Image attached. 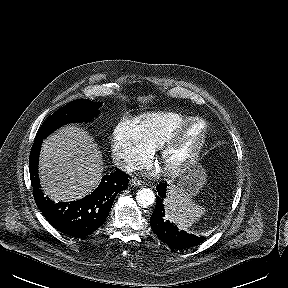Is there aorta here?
Masks as SVG:
<instances>
[{
  "mask_svg": "<svg viewBox=\"0 0 288 288\" xmlns=\"http://www.w3.org/2000/svg\"><path fill=\"white\" fill-rule=\"evenodd\" d=\"M155 194L150 188H142L136 194V201L139 206L147 208L155 202Z\"/></svg>",
  "mask_w": 288,
  "mask_h": 288,
  "instance_id": "1",
  "label": "aorta"
}]
</instances>
